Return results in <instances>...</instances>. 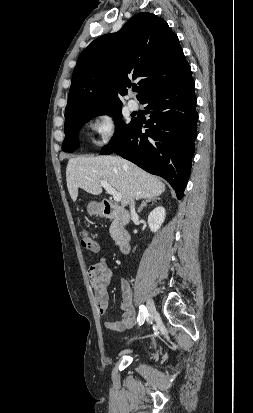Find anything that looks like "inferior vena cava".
<instances>
[{"instance_id": "obj_1", "label": "inferior vena cava", "mask_w": 253, "mask_h": 413, "mask_svg": "<svg viewBox=\"0 0 253 413\" xmlns=\"http://www.w3.org/2000/svg\"><path fill=\"white\" fill-rule=\"evenodd\" d=\"M130 212H131V216H135L136 212H135V202L134 199L131 201L130 203Z\"/></svg>"}]
</instances>
